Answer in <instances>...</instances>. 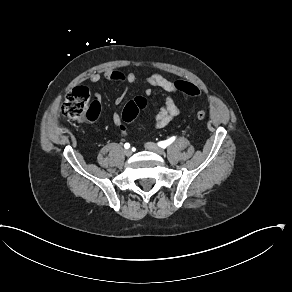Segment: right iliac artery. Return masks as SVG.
I'll list each match as a JSON object with an SVG mask.
<instances>
[{
	"mask_svg": "<svg viewBox=\"0 0 292 292\" xmlns=\"http://www.w3.org/2000/svg\"><path fill=\"white\" fill-rule=\"evenodd\" d=\"M124 147H125L126 149H128V148H130V144H129V143H125V144H124Z\"/></svg>",
	"mask_w": 292,
	"mask_h": 292,
	"instance_id": "obj_1",
	"label": "right iliac artery"
}]
</instances>
